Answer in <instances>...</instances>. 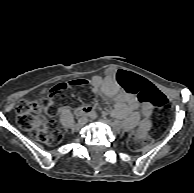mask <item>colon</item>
<instances>
[{"mask_svg": "<svg viewBox=\"0 0 194 193\" xmlns=\"http://www.w3.org/2000/svg\"><path fill=\"white\" fill-rule=\"evenodd\" d=\"M117 80L127 91L134 93L142 104L151 103L164 113L170 111L171 104L168 99L157 92L145 79L126 71H119ZM88 86V80H73L61 83L44 92L39 99L18 102L15 107L18 126L43 144H58L62 139V133L58 125L45 115L47 100L51 97H58L63 90L68 88L77 89L85 93ZM130 146L134 149L137 148L138 141L136 139L131 140Z\"/></svg>", "mask_w": 194, "mask_h": 193, "instance_id": "1", "label": "colon"}]
</instances>
